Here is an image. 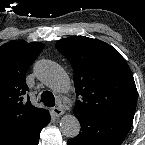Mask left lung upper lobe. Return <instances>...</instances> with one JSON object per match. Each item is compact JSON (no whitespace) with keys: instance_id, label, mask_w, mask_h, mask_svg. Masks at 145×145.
<instances>
[{"instance_id":"obj_1","label":"left lung upper lobe","mask_w":145,"mask_h":145,"mask_svg":"<svg viewBox=\"0 0 145 145\" xmlns=\"http://www.w3.org/2000/svg\"><path fill=\"white\" fill-rule=\"evenodd\" d=\"M74 71L76 101L73 112L99 116L134 117L137 89L125 59L109 44L85 36L56 43Z\"/></svg>"}]
</instances>
